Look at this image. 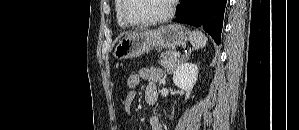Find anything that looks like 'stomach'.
<instances>
[{
	"mask_svg": "<svg viewBox=\"0 0 299 130\" xmlns=\"http://www.w3.org/2000/svg\"><path fill=\"white\" fill-rule=\"evenodd\" d=\"M189 35L190 31L178 24L131 33L119 41L113 56L117 60H125L139 57L152 49L180 46L188 41Z\"/></svg>",
	"mask_w": 299,
	"mask_h": 130,
	"instance_id": "0dacf381",
	"label": "stomach"
}]
</instances>
